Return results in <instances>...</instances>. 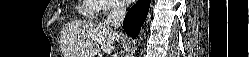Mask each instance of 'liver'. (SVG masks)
Segmentation results:
<instances>
[{"label":"liver","instance_id":"1","mask_svg":"<svg viewBox=\"0 0 249 57\" xmlns=\"http://www.w3.org/2000/svg\"><path fill=\"white\" fill-rule=\"evenodd\" d=\"M64 57H96L93 51L111 54L119 39L110 27L92 22H71L61 32Z\"/></svg>","mask_w":249,"mask_h":57}]
</instances>
